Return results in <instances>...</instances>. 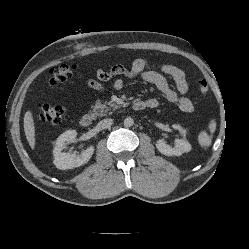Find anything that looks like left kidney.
I'll use <instances>...</instances> for the list:
<instances>
[{
	"mask_svg": "<svg viewBox=\"0 0 249 249\" xmlns=\"http://www.w3.org/2000/svg\"><path fill=\"white\" fill-rule=\"evenodd\" d=\"M172 127L176 130H179L184 137L177 139L175 141L174 147L168 145L163 139L158 140L156 142V148L158 151L166 156H180L183 153L189 152L191 150V144L185 138L186 130L177 124H174Z\"/></svg>",
	"mask_w": 249,
	"mask_h": 249,
	"instance_id": "1",
	"label": "left kidney"
}]
</instances>
